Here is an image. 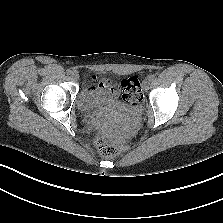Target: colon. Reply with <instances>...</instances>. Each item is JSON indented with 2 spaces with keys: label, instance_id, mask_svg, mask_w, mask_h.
<instances>
[{
  "label": "colon",
  "instance_id": "5ec220e1",
  "mask_svg": "<svg viewBox=\"0 0 223 223\" xmlns=\"http://www.w3.org/2000/svg\"><path fill=\"white\" fill-rule=\"evenodd\" d=\"M123 94L122 98L128 104L137 107L142 101V92L140 88V82L136 76H132L122 82ZM100 152L105 156H113L117 152L116 146L105 140L101 139L99 141Z\"/></svg>",
  "mask_w": 223,
  "mask_h": 223
}]
</instances>
